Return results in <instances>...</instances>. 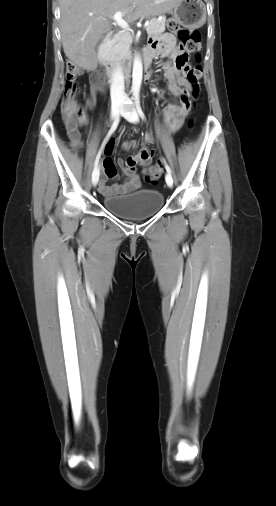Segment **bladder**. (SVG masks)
I'll use <instances>...</instances> for the list:
<instances>
[{
  "instance_id": "1",
  "label": "bladder",
  "mask_w": 276,
  "mask_h": 506,
  "mask_svg": "<svg viewBox=\"0 0 276 506\" xmlns=\"http://www.w3.org/2000/svg\"><path fill=\"white\" fill-rule=\"evenodd\" d=\"M106 209L127 219H139L158 212L164 204V195L159 190L143 189L136 192L106 196L103 198Z\"/></svg>"
}]
</instances>
